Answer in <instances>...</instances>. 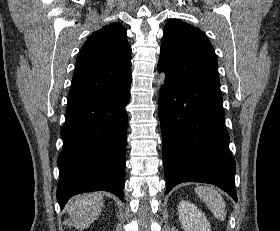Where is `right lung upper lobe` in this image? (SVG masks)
<instances>
[{"label": "right lung upper lobe", "instance_id": "right-lung-upper-lobe-1", "mask_svg": "<svg viewBox=\"0 0 280 231\" xmlns=\"http://www.w3.org/2000/svg\"><path fill=\"white\" fill-rule=\"evenodd\" d=\"M131 84V47L126 30L111 23L95 31L76 60L67 107L118 93Z\"/></svg>", "mask_w": 280, "mask_h": 231}]
</instances>
